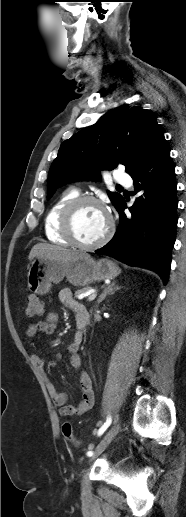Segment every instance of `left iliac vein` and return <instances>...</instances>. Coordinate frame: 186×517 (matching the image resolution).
I'll return each mask as SVG.
<instances>
[{"label":"left iliac vein","instance_id":"obj_1","mask_svg":"<svg viewBox=\"0 0 186 517\" xmlns=\"http://www.w3.org/2000/svg\"><path fill=\"white\" fill-rule=\"evenodd\" d=\"M121 429L120 423L115 422V424L108 430L103 439L98 444L95 453L90 457V461L94 460L98 455H100L110 444V442L114 439V437L119 433Z\"/></svg>","mask_w":186,"mask_h":517}]
</instances>
